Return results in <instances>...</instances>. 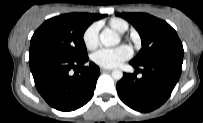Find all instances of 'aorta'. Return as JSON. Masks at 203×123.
Segmentation results:
<instances>
[{
	"instance_id": "obj_1",
	"label": "aorta",
	"mask_w": 203,
	"mask_h": 123,
	"mask_svg": "<svg viewBox=\"0 0 203 123\" xmlns=\"http://www.w3.org/2000/svg\"><path fill=\"white\" fill-rule=\"evenodd\" d=\"M100 42L106 46V47H111L115 46L120 42V37L119 35L115 32L112 31L111 29H104L100 35H99ZM123 77V72L121 70H113L112 71V78L114 80H120Z\"/></svg>"
}]
</instances>
